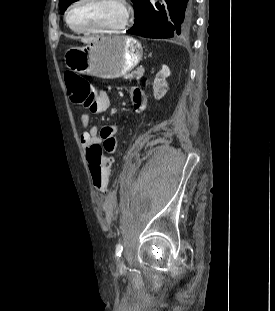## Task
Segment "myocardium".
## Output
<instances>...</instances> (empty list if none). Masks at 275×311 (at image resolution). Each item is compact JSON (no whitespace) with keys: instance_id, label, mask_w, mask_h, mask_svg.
Wrapping results in <instances>:
<instances>
[{"instance_id":"obj_1","label":"myocardium","mask_w":275,"mask_h":311,"mask_svg":"<svg viewBox=\"0 0 275 311\" xmlns=\"http://www.w3.org/2000/svg\"><path fill=\"white\" fill-rule=\"evenodd\" d=\"M84 0H75L70 4V6L67 8L65 12V22L67 26L74 32L78 33H90V34H110V33H117L122 31L129 23L130 16H131V9L129 4L126 0H115L118 2L122 8L123 16L119 24L111 27H104V28H78L71 25L69 21V15L72 11V9L79 3H81Z\"/></svg>"}]
</instances>
